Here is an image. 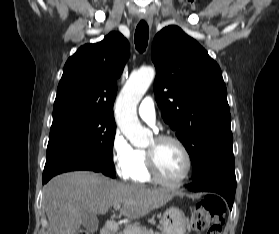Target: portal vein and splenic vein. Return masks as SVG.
I'll return each instance as SVG.
<instances>
[{"label":"portal vein and splenic vein","mask_w":279,"mask_h":234,"mask_svg":"<svg viewBox=\"0 0 279 234\" xmlns=\"http://www.w3.org/2000/svg\"><path fill=\"white\" fill-rule=\"evenodd\" d=\"M120 207H121V204H120V203L114 204V209H115V210L120 209Z\"/></svg>","instance_id":"1"}]
</instances>
